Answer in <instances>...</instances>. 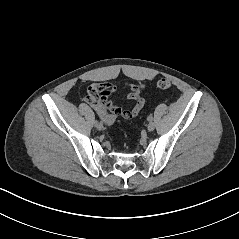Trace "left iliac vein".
Instances as JSON below:
<instances>
[{
    "label": "left iliac vein",
    "instance_id": "1",
    "mask_svg": "<svg viewBox=\"0 0 239 239\" xmlns=\"http://www.w3.org/2000/svg\"><path fill=\"white\" fill-rule=\"evenodd\" d=\"M147 129L148 131H153L155 129V124L153 122H149Z\"/></svg>",
    "mask_w": 239,
    "mask_h": 239
}]
</instances>
